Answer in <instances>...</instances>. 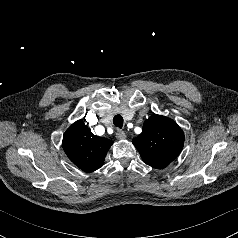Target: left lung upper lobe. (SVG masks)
Here are the masks:
<instances>
[{
  "label": "left lung upper lobe",
  "mask_w": 238,
  "mask_h": 238,
  "mask_svg": "<svg viewBox=\"0 0 238 238\" xmlns=\"http://www.w3.org/2000/svg\"><path fill=\"white\" fill-rule=\"evenodd\" d=\"M132 143L144 163L163 169L180 154L184 133L172 119L154 114L144 122L142 133Z\"/></svg>",
  "instance_id": "left-lung-upper-lobe-1"
}]
</instances>
